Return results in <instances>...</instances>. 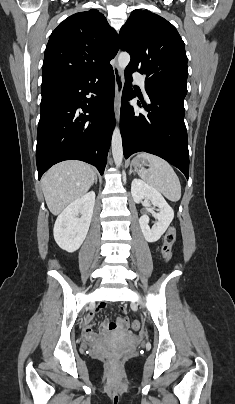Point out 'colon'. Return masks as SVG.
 I'll list each match as a JSON object with an SVG mask.
<instances>
[{
    "label": "colon",
    "instance_id": "1",
    "mask_svg": "<svg viewBox=\"0 0 235 404\" xmlns=\"http://www.w3.org/2000/svg\"><path fill=\"white\" fill-rule=\"evenodd\" d=\"M176 236H177V231L175 226H170L169 229L167 230L165 236H164V242L162 245V255L166 261H170L172 258V247L176 241ZM118 324L121 326H130L133 330H138L139 329V323L134 321L131 324H129V319L127 317L121 318L118 320ZM117 326L115 322H110L108 323V328L113 329ZM111 361L114 360L113 357L109 358Z\"/></svg>",
    "mask_w": 235,
    "mask_h": 404
}]
</instances>
